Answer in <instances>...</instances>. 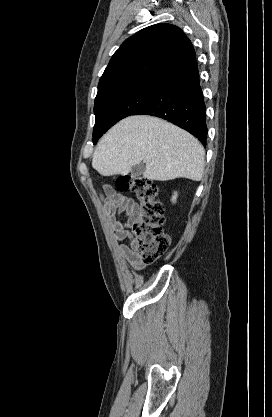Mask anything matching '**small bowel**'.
Masks as SVG:
<instances>
[{
	"label": "small bowel",
	"mask_w": 272,
	"mask_h": 417,
	"mask_svg": "<svg viewBox=\"0 0 272 417\" xmlns=\"http://www.w3.org/2000/svg\"><path fill=\"white\" fill-rule=\"evenodd\" d=\"M103 213L110 223L114 237L117 241L128 239L129 243H120L119 252L121 256L135 270H141L145 264L136 250L135 240L128 230L138 214L137 203L118 192L110 185H104L100 193Z\"/></svg>",
	"instance_id": "c3829d8e"
}]
</instances>
